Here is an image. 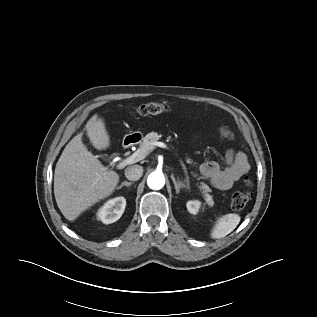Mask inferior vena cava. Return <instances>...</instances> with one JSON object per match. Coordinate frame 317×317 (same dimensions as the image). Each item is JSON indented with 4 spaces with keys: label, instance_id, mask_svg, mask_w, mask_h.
Instances as JSON below:
<instances>
[{
    "label": "inferior vena cava",
    "instance_id": "1",
    "mask_svg": "<svg viewBox=\"0 0 317 317\" xmlns=\"http://www.w3.org/2000/svg\"><path fill=\"white\" fill-rule=\"evenodd\" d=\"M142 174H143V167L140 165H133L125 169L126 178L131 181L138 180L142 176Z\"/></svg>",
    "mask_w": 317,
    "mask_h": 317
}]
</instances>
